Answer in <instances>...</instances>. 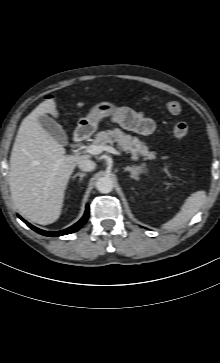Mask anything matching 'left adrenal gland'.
<instances>
[{
    "mask_svg": "<svg viewBox=\"0 0 220 363\" xmlns=\"http://www.w3.org/2000/svg\"><path fill=\"white\" fill-rule=\"evenodd\" d=\"M124 170L130 172L131 177L135 178V179L137 178V176L140 173V168L138 166H132V167L127 166L124 168Z\"/></svg>",
    "mask_w": 220,
    "mask_h": 363,
    "instance_id": "left-adrenal-gland-1",
    "label": "left adrenal gland"
}]
</instances>
